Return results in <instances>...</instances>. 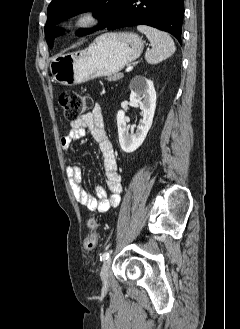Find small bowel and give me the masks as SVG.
<instances>
[{
    "mask_svg": "<svg viewBox=\"0 0 240 329\" xmlns=\"http://www.w3.org/2000/svg\"><path fill=\"white\" fill-rule=\"evenodd\" d=\"M87 131L92 135L102 154L107 189L97 186L95 195H91L82 185V170L78 165L70 164L66 171L76 200L92 213L101 214L118 205L122 191V179L113 146L105 130L102 108L97 103L91 111L70 123L69 132L60 139L62 149L68 151L72 143L83 138Z\"/></svg>",
    "mask_w": 240,
    "mask_h": 329,
    "instance_id": "c3829d8e",
    "label": "small bowel"
}]
</instances>
